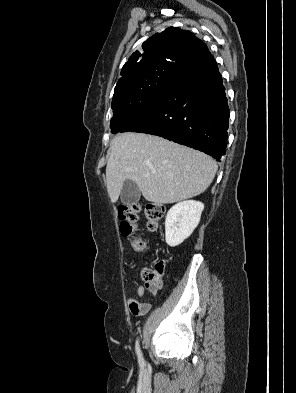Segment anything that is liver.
Returning a JSON list of instances; mask_svg holds the SVG:
<instances>
[{
    "label": "liver",
    "mask_w": 296,
    "mask_h": 393,
    "mask_svg": "<svg viewBox=\"0 0 296 393\" xmlns=\"http://www.w3.org/2000/svg\"><path fill=\"white\" fill-rule=\"evenodd\" d=\"M216 171V162L200 151L162 137L126 132L111 142L107 191L115 203L124 182L132 180L147 201L170 204L203 193Z\"/></svg>",
    "instance_id": "obj_1"
}]
</instances>
